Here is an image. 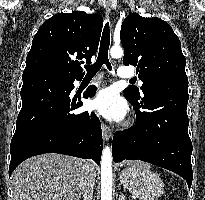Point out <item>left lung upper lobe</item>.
<instances>
[{
	"instance_id": "left-lung-upper-lobe-1",
	"label": "left lung upper lobe",
	"mask_w": 205,
	"mask_h": 200,
	"mask_svg": "<svg viewBox=\"0 0 205 200\" xmlns=\"http://www.w3.org/2000/svg\"><path fill=\"white\" fill-rule=\"evenodd\" d=\"M120 39L125 51L124 65L137 66L139 79L143 82L141 94L137 87H128L124 90L127 97L139 99L151 84L158 81L188 80L180 40L165 21L131 13L122 23Z\"/></svg>"
}]
</instances>
